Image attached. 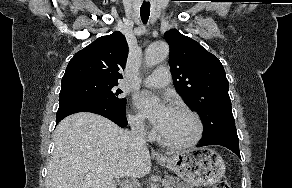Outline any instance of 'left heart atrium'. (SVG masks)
<instances>
[{"label": "left heart atrium", "instance_id": "obj_1", "mask_svg": "<svg viewBox=\"0 0 292 188\" xmlns=\"http://www.w3.org/2000/svg\"><path fill=\"white\" fill-rule=\"evenodd\" d=\"M136 104L139 110L149 117L158 130L163 126L172 111L171 107L165 103L156 105L153 96L148 92L141 93L137 98Z\"/></svg>", "mask_w": 292, "mask_h": 188}]
</instances>
